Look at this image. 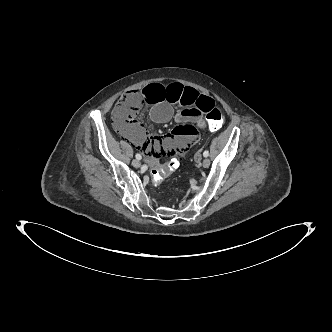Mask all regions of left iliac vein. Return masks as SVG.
<instances>
[{
    "label": "left iliac vein",
    "mask_w": 332,
    "mask_h": 332,
    "mask_svg": "<svg viewBox=\"0 0 332 332\" xmlns=\"http://www.w3.org/2000/svg\"><path fill=\"white\" fill-rule=\"evenodd\" d=\"M210 160L208 159V158H205L203 161H202V166L204 167V168H207V167H209L210 166Z\"/></svg>",
    "instance_id": "left-iliac-vein-1"
}]
</instances>
